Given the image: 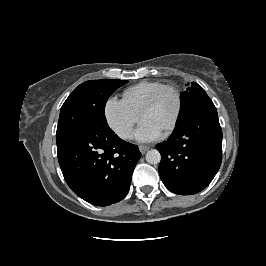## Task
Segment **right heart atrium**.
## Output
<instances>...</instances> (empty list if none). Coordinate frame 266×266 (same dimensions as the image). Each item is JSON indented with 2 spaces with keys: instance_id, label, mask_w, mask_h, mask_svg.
<instances>
[{
  "instance_id": "1",
  "label": "right heart atrium",
  "mask_w": 266,
  "mask_h": 266,
  "mask_svg": "<svg viewBox=\"0 0 266 266\" xmlns=\"http://www.w3.org/2000/svg\"><path fill=\"white\" fill-rule=\"evenodd\" d=\"M104 117L117 136L129 139L139 121L140 113L133 110L123 99L109 97L104 105Z\"/></svg>"
}]
</instances>
